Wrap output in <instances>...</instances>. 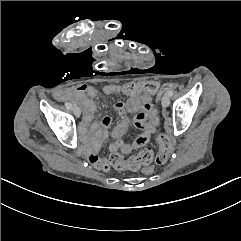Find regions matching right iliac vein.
<instances>
[{
    "label": "right iliac vein",
    "instance_id": "63e3f726",
    "mask_svg": "<svg viewBox=\"0 0 241 241\" xmlns=\"http://www.w3.org/2000/svg\"><path fill=\"white\" fill-rule=\"evenodd\" d=\"M72 111H73V113H74V115H75L76 117H79L80 114H81V110H80V108H79L77 105H74V106L72 107Z\"/></svg>",
    "mask_w": 241,
    "mask_h": 241
}]
</instances>
